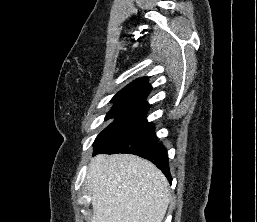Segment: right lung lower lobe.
<instances>
[{"instance_id":"98d812e1","label":"right lung lower lobe","mask_w":257,"mask_h":222,"mask_svg":"<svg viewBox=\"0 0 257 222\" xmlns=\"http://www.w3.org/2000/svg\"><path fill=\"white\" fill-rule=\"evenodd\" d=\"M99 153L138 155L154 163L164 173L169 182H172L167 150L157 141L153 124L147 121L115 141L94 150V155Z\"/></svg>"}]
</instances>
